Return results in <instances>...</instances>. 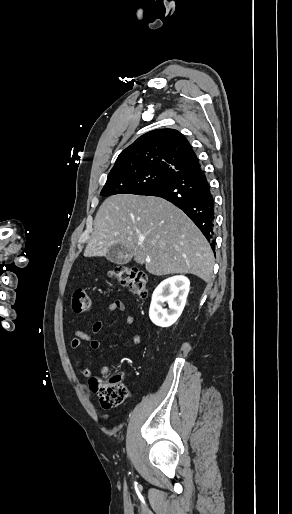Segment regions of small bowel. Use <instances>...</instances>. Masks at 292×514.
<instances>
[{"label": "small bowel", "mask_w": 292, "mask_h": 514, "mask_svg": "<svg viewBox=\"0 0 292 514\" xmlns=\"http://www.w3.org/2000/svg\"><path fill=\"white\" fill-rule=\"evenodd\" d=\"M107 309L109 311L124 312L125 305L121 300L114 299L107 304ZM125 323L128 326H132L134 324V317L132 315H127L125 318ZM102 328H103V322L101 320H96L92 324L91 333L82 331L80 329H75L74 336L70 341V347L72 349H79L80 347H82L84 341H89L90 347L92 349H94V350L99 349L100 341L97 338H95L94 335L98 334L102 330ZM130 342L135 346L140 345L141 337L139 335H132L130 337ZM100 369L104 373L105 370L107 369V366L105 364H102L100 366ZM73 372L76 377L82 376L87 379H90L93 377L92 370L89 369L88 367H86L85 361L82 357H78L75 360ZM80 386L87 391L89 390V385L85 382H80Z\"/></svg>", "instance_id": "1"}]
</instances>
